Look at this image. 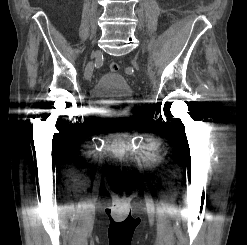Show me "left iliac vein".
<instances>
[{"instance_id": "left-iliac-vein-1", "label": "left iliac vein", "mask_w": 247, "mask_h": 245, "mask_svg": "<svg viewBox=\"0 0 247 245\" xmlns=\"http://www.w3.org/2000/svg\"><path fill=\"white\" fill-rule=\"evenodd\" d=\"M133 65L135 66L136 65V62L135 61H132Z\"/></svg>"}]
</instances>
